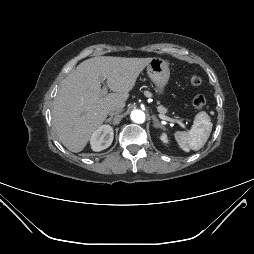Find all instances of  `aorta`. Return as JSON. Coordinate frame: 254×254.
Instances as JSON below:
<instances>
[{
  "instance_id": "aorta-1",
  "label": "aorta",
  "mask_w": 254,
  "mask_h": 254,
  "mask_svg": "<svg viewBox=\"0 0 254 254\" xmlns=\"http://www.w3.org/2000/svg\"><path fill=\"white\" fill-rule=\"evenodd\" d=\"M131 119L135 123H143L145 121V113L141 110H133L131 112Z\"/></svg>"
}]
</instances>
